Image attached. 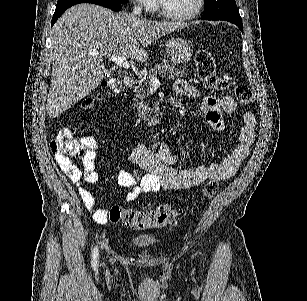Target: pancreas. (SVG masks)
Segmentation results:
<instances>
[{"instance_id": "pancreas-1", "label": "pancreas", "mask_w": 307, "mask_h": 301, "mask_svg": "<svg viewBox=\"0 0 307 301\" xmlns=\"http://www.w3.org/2000/svg\"><path fill=\"white\" fill-rule=\"evenodd\" d=\"M158 74H161V76H169V78H178V76H183L184 70H179V68H176L175 64L168 62V60H164V62L155 64L154 68H151L148 74H145L143 78L136 80L134 86L136 98L133 106H136L139 116H146L147 112H155L154 108L148 106L149 100H147V96L149 94L150 78H152V76H158Z\"/></svg>"}]
</instances>
